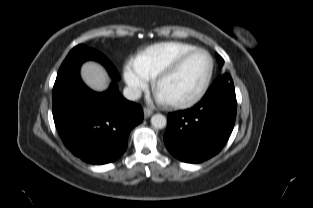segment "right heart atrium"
Instances as JSON below:
<instances>
[{
    "mask_svg": "<svg viewBox=\"0 0 313 208\" xmlns=\"http://www.w3.org/2000/svg\"><path fill=\"white\" fill-rule=\"evenodd\" d=\"M125 81L134 93H139L148 87L150 79L131 65L126 68Z\"/></svg>",
    "mask_w": 313,
    "mask_h": 208,
    "instance_id": "1",
    "label": "right heart atrium"
}]
</instances>
